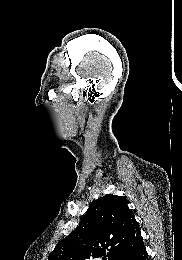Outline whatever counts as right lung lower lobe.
I'll use <instances>...</instances> for the list:
<instances>
[{
	"label": "right lung lower lobe",
	"instance_id": "right-lung-lower-lobe-1",
	"mask_svg": "<svg viewBox=\"0 0 182 260\" xmlns=\"http://www.w3.org/2000/svg\"><path fill=\"white\" fill-rule=\"evenodd\" d=\"M118 260H148L143 240L122 254Z\"/></svg>",
	"mask_w": 182,
	"mask_h": 260
}]
</instances>
